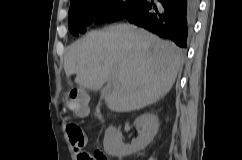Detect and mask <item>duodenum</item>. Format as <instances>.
Here are the masks:
<instances>
[{
	"instance_id": "1",
	"label": "duodenum",
	"mask_w": 242,
	"mask_h": 160,
	"mask_svg": "<svg viewBox=\"0 0 242 160\" xmlns=\"http://www.w3.org/2000/svg\"><path fill=\"white\" fill-rule=\"evenodd\" d=\"M100 114H101V111L98 110V111L96 112V115H97V116H100Z\"/></svg>"
}]
</instances>
